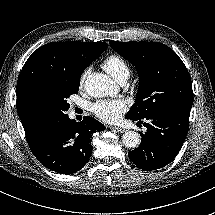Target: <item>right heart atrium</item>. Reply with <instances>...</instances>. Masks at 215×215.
Masks as SVG:
<instances>
[{
    "instance_id": "right-heart-atrium-1",
    "label": "right heart atrium",
    "mask_w": 215,
    "mask_h": 215,
    "mask_svg": "<svg viewBox=\"0 0 215 215\" xmlns=\"http://www.w3.org/2000/svg\"><path fill=\"white\" fill-rule=\"evenodd\" d=\"M89 72H90V70L86 69L80 75L79 82H78V86L80 89H82L84 87V84H85V81H86V78H87Z\"/></svg>"
}]
</instances>
